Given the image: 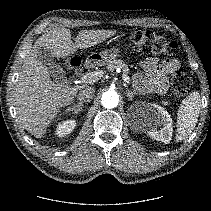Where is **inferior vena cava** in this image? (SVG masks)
I'll return each mask as SVG.
<instances>
[{
    "label": "inferior vena cava",
    "mask_w": 211,
    "mask_h": 211,
    "mask_svg": "<svg viewBox=\"0 0 211 211\" xmlns=\"http://www.w3.org/2000/svg\"><path fill=\"white\" fill-rule=\"evenodd\" d=\"M94 93L95 90L93 87H85L78 93L77 99L79 101L89 102L93 99Z\"/></svg>",
    "instance_id": "1"
}]
</instances>
